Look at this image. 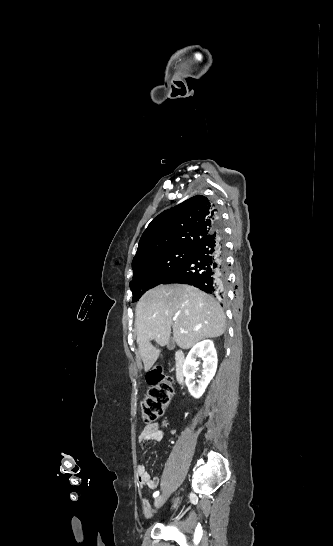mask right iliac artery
<instances>
[{"mask_svg":"<svg viewBox=\"0 0 333 546\" xmlns=\"http://www.w3.org/2000/svg\"><path fill=\"white\" fill-rule=\"evenodd\" d=\"M159 495V491L154 492L153 497H157Z\"/></svg>","mask_w":333,"mask_h":546,"instance_id":"right-iliac-artery-1","label":"right iliac artery"}]
</instances>
